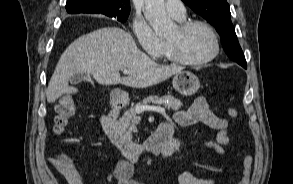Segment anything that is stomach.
I'll return each mask as SVG.
<instances>
[{"mask_svg":"<svg viewBox=\"0 0 293 184\" xmlns=\"http://www.w3.org/2000/svg\"><path fill=\"white\" fill-rule=\"evenodd\" d=\"M172 84L173 88L183 96L194 95L200 88L198 77L189 71L177 73L173 78ZM111 95L117 99H121L125 96V92L120 89H114Z\"/></svg>","mask_w":293,"mask_h":184,"instance_id":"obj_1","label":"stomach"}]
</instances>
